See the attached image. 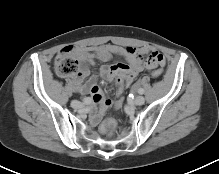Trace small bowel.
I'll use <instances>...</instances> for the list:
<instances>
[{"label":"small bowel","instance_id":"1","mask_svg":"<svg viewBox=\"0 0 219 174\" xmlns=\"http://www.w3.org/2000/svg\"><path fill=\"white\" fill-rule=\"evenodd\" d=\"M70 53L75 54L81 63L79 72L70 79L71 83L77 92L81 94L89 93L92 100L98 104V108L91 115L93 123H98L107 107H113L115 103L113 98L105 99L94 76L84 81L90 73L88 65H93L95 59L108 61L113 54L120 55L126 59L127 63L103 65L100 68L101 77L108 81H116L117 89L121 91L129 87L144 68L152 72L157 65L164 66L165 64L164 55L160 51L150 49L149 47L136 48L105 44L94 47L73 48L70 49ZM144 54H147V65L143 64L142 58Z\"/></svg>","mask_w":219,"mask_h":174}]
</instances>
